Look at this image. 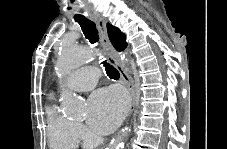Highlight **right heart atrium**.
Masks as SVG:
<instances>
[{
  "instance_id": "d8ad5b80",
  "label": "right heart atrium",
  "mask_w": 227,
  "mask_h": 149,
  "mask_svg": "<svg viewBox=\"0 0 227 149\" xmlns=\"http://www.w3.org/2000/svg\"><path fill=\"white\" fill-rule=\"evenodd\" d=\"M75 129H76L77 136L79 138L84 139V138L87 137V135H88L87 131H86L85 127L82 124L75 123Z\"/></svg>"
}]
</instances>
